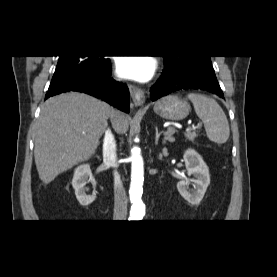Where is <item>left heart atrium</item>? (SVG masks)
Segmentation results:
<instances>
[{
    "label": "left heart atrium",
    "instance_id": "1",
    "mask_svg": "<svg viewBox=\"0 0 277 277\" xmlns=\"http://www.w3.org/2000/svg\"><path fill=\"white\" fill-rule=\"evenodd\" d=\"M120 76L137 81H147L155 70V62L149 57H122L116 62Z\"/></svg>",
    "mask_w": 277,
    "mask_h": 277
}]
</instances>
